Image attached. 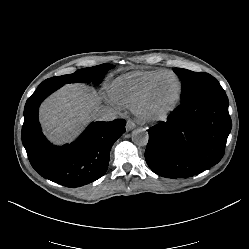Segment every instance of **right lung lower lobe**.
<instances>
[{"label":"right lung lower lobe","instance_id":"right-lung-lower-lobe-1","mask_svg":"<svg viewBox=\"0 0 249 249\" xmlns=\"http://www.w3.org/2000/svg\"><path fill=\"white\" fill-rule=\"evenodd\" d=\"M59 85L38 87L24 107L22 142L33 168L44 178L67 187H79L103 176L110 149L125 132L126 121L91 123L71 144L55 146L43 135L38 121L42 101Z\"/></svg>","mask_w":249,"mask_h":249}]
</instances>
